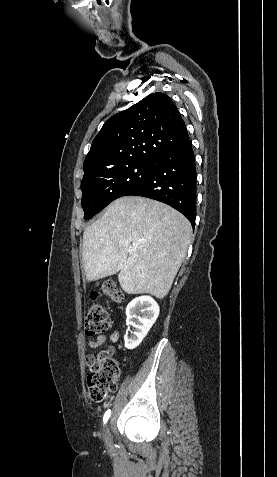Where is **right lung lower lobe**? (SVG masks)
I'll return each instance as SVG.
<instances>
[{"instance_id": "98d812e1", "label": "right lung lower lobe", "mask_w": 277, "mask_h": 477, "mask_svg": "<svg viewBox=\"0 0 277 477\" xmlns=\"http://www.w3.org/2000/svg\"><path fill=\"white\" fill-rule=\"evenodd\" d=\"M143 196L170 205L195 226L196 170L189 139L159 157L148 175L125 196Z\"/></svg>"}]
</instances>
